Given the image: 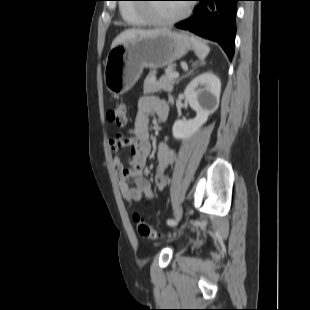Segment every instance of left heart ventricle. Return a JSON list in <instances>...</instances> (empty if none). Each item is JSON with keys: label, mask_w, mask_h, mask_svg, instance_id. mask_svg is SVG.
<instances>
[{"label": "left heart ventricle", "mask_w": 310, "mask_h": 310, "mask_svg": "<svg viewBox=\"0 0 310 310\" xmlns=\"http://www.w3.org/2000/svg\"><path fill=\"white\" fill-rule=\"evenodd\" d=\"M156 17L170 18L182 11V7L175 4H159L152 9Z\"/></svg>", "instance_id": "left-heart-ventricle-1"}]
</instances>
